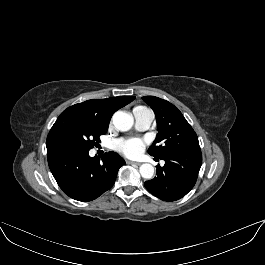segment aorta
I'll list each match as a JSON object with an SVG mask.
<instances>
[{
    "label": "aorta",
    "instance_id": "obj_1",
    "mask_svg": "<svg viewBox=\"0 0 265 265\" xmlns=\"http://www.w3.org/2000/svg\"><path fill=\"white\" fill-rule=\"evenodd\" d=\"M113 124L119 131H128L133 126V118L126 112L119 111L113 115ZM139 172L143 178L151 179L154 175V167L145 163L140 166Z\"/></svg>",
    "mask_w": 265,
    "mask_h": 265
}]
</instances>
